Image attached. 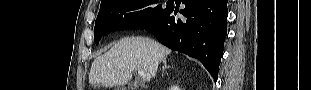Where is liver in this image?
<instances>
[{
	"label": "liver",
	"instance_id": "1",
	"mask_svg": "<svg viewBox=\"0 0 311 90\" xmlns=\"http://www.w3.org/2000/svg\"><path fill=\"white\" fill-rule=\"evenodd\" d=\"M171 50L158 42L144 37H126L117 42L108 52L97 57L90 69L89 83L96 87L123 86L142 70L154 78L159 62Z\"/></svg>",
	"mask_w": 311,
	"mask_h": 90
}]
</instances>
